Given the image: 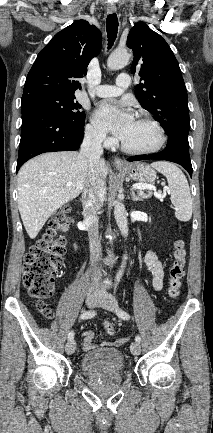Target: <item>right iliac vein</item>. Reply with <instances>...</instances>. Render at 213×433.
Listing matches in <instances>:
<instances>
[{
    "instance_id": "obj_1",
    "label": "right iliac vein",
    "mask_w": 213,
    "mask_h": 433,
    "mask_svg": "<svg viewBox=\"0 0 213 433\" xmlns=\"http://www.w3.org/2000/svg\"><path fill=\"white\" fill-rule=\"evenodd\" d=\"M100 299H101V296L99 294L90 293L87 295L86 304L88 307L93 308L99 304ZM75 349H76L75 341L70 340L69 342L66 343L65 351L67 354H69V355L73 354L75 352Z\"/></svg>"
}]
</instances>
